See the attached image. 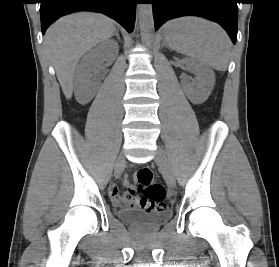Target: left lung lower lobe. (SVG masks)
I'll return each instance as SVG.
<instances>
[{"label": "left lung lower lobe", "mask_w": 279, "mask_h": 267, "mask_svg": "<svg viewBox=\"0 0 279 267\" xmlns=\"http://www.w3.org/2000/svg\"><path fill=\"white\" fill-rule=\"evenodd\" d=\"M155 30L165 21L196 15L219 23L235 44L237 39V0H151Z\"/></svg>", "instance_id": "obj_1"}]
</instances>
